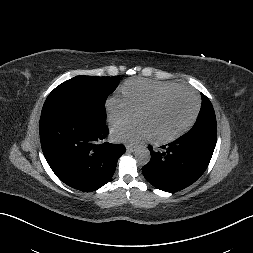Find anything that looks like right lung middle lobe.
<instances>
[{
	"instance_id": "obj_1",
	"label": "right lung middle lobe",
	"mask_w": 253,
	"mask_h": 253,
	"mask_svg": "<svg viewBox=\"0 0 253 253\" xmlns=\"http://www.w3.org/2000/svg\"><path fill=\"white\" fill-rule=\"evenodd\" d=\"M119 76H76L57 86L47 97L42 112L68 108L105 121V101L114 92Z\"/></svg>"
}]
</instances>
